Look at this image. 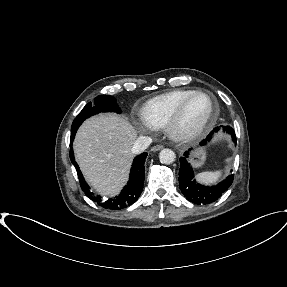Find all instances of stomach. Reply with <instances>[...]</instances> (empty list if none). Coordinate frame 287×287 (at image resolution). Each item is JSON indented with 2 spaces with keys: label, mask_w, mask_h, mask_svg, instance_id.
<instances>
[{
  "label": "stomach",
  "mask_w": 287,
  "mask_h": 287,
  "mask_svg": "<svg viewBox=\"0 0 287 287\" xmlns=\"http://www.w3.org/2000/svg\"><path fill=\"white\" fill-rule=\"evenodd\" d=\"M207 156V151L203 148L194 150L190 156V163L193 167L197 168L204 164Z\"/></svg>",
  "instance_id": "1"
}]
</instances>
